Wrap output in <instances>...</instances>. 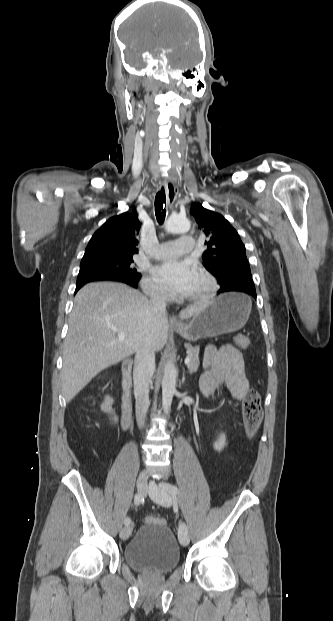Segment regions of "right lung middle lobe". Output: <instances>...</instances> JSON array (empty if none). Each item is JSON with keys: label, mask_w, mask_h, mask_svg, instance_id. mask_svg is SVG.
Wrapping results in <instances>:
<instances>
[{"label": "right lung middle lobe", "mask_w": 333, "mask_h": 621, "mask_svg": "<svg viewBox=\"0 0 333 621\" xmlns=\"http://www.w3.org/2000/svg\"><path fill=\"white\" fill-rule=\"evenodd\" d=\"M87 276L120 278L132 282H138L141 278V274L133 266L132 257L82 259L78 278Z\"/></svg>", "instance_id": "obj_1"}]
</instances>
